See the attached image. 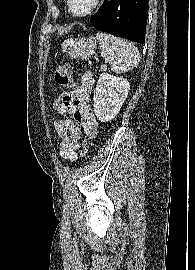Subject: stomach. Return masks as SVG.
<instances>
[{
    "instance_id": "obj_1",
    "label": "stomach",
    "mask_w": 195,
    "mask_h": 270,
    "mask_svg": "<svg viewBox=\"0 0 195 270\" xmlns=\"http://www.w3.org/2000/svg\"><path fill=\"white\" fill-rule=\"evenodd\" d=\"M96 41L93 38H70L62 43V49L72 58L88 59L92 57L96 49Z\"/></svg>"
}]
</instances>
